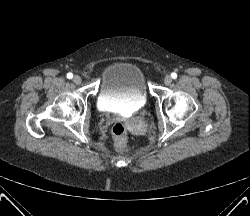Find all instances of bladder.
Instances as JSON below:
<instances>
[{
	"label": "bladder",
	"mask_w": 250,
	"mask_h": 216,
	"mask_svg": "<svg viewBox=\"0 0 250 216\" xmlns=\"http://www.w3.org/2000/svg\"><path fill=\"white\" fill-rule=\"evenodd\" d=\"M147 98L146 81L136 65L118 62L105 69L97 99L100 109L134 113L146 104Z\"/></svg>",
	"instance_id": "1"
}]
</instances>
